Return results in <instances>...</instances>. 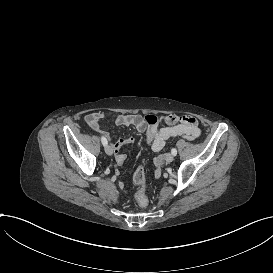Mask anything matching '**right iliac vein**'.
<instances>
[{
	"label": "right iliac vein",
	"mask_w": 273,
	"mask_h": 273,
	"mask_svg": "<svg viewBox=\"0 0 273 273\" xmlns=\"http://www.w3.org/2000/svg\"><path fill=\"white\" fill-rule=\"evenodd\" d=\"M104 149L107 155L111 156L113 154V149L110 145H106Z\"/></svg>",
	"instance_id": "1"
}]
</instances>
